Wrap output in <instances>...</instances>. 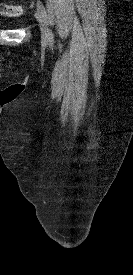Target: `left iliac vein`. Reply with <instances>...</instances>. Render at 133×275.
<instances>
[{"label": "left iliac vein", "mask_w": 133, "mask_h": 275, "mask_svg": "<svg viewBox=\"0 0 133 275\" xmlns=\"http://www.w3.org/2000/svg\"><path fill=\"white\" fill-rule=\"evenodd\" d=\"M35 17L37 19V21L39 22V26L41 29V37L43 42H48L49 41V34H50V29L47 23L46 18L44 17V15L42 14V12L37 9L35 12Z\"/></svg>", "instance_id": "1"}]
</instances>
